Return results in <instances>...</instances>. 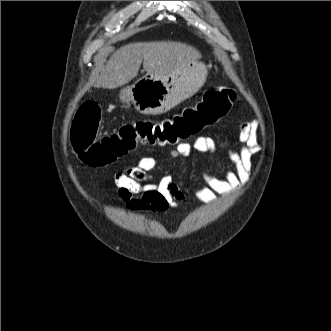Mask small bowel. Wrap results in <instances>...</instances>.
<instances>
[{"instance_id": "1", "label": "small bowel", "mask_w": 331, "mask_h": 331, "mask_svg": "<svg viewBox=\"0 0 331 331\" xmlns=\"http://www.w3.org/2000/svg\"><path fill=\"white\" fill-rule=\"evenodd\" d=\"M258 122L248 121L239 124L238 150L228 149L226 155L234 166L221 176L209 171L203 172L204 185L193 189L194 195L205 203H214L218 196H228L249 178L252 168V157L259 151L257 139ZM209 155L218 153L215 140L201 136L193 144L180 143L170 152L173 158L186 159L192 150ZM156 160L142 157L137 163L117 171L114 182L118 196L124 201L128 210L140 213H165L170 208H177L185 199L184 193L173 182L171 176L152 180L150 172L155 168Z\"/></svg>"}]
</instances>
